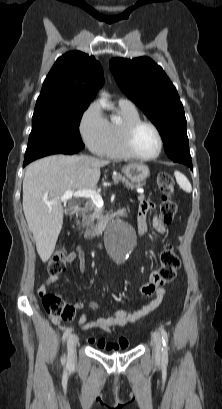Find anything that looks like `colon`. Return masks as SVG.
<instances>
[{"instance_id":"5ec220e1","label":"colon","mask_w":222,"mask_h":409,"mask_svg":"<svg viewBox=\"0 0 222 409\" xmlns=\"http://www.w3.org/2000/svg\"><path fill=\"white\" fill-rule=\"evenodd\" d=\"M157 187L163 193L160 215L163 220L170 221L176 214L178 207L177 201L173 196L175 181L169 173L163 172L157 177ZM66 260L67 254L65 250L59 249L55 251L48 261V272L50 274L62 272L67 262ZM158 268L163 272V279L165 280L163 285L169 284L175 279L177 270L180 268V259L172 245L167 244L162 250ZM151 275L153 276V274ZM41 296L42 305L48 314L64 320H69L73 317L74 307L59 294L45 292Z\"/></svg>"}]
</instances>
